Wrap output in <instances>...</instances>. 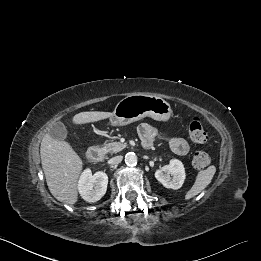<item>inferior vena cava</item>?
Listing matches in <instances>:
<instances>
[{
  "label": "inferior vena cava",
  "mask_w": 261,
  "mask_h": 261,
  "mask_svg": "<svg viewBox=\"0 0 261 261\" xmlns=\"http://www.w3.org/2000/svg\"><path fill=\"white\" fill-rule=\"evenodd\" d=\"M122 159H123L122 156H115L109 160V164L111 165L119 164L122 161Z\"/></svg>",
  "instance_id": "obj_1"
}]
</instances>
